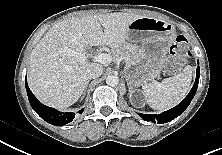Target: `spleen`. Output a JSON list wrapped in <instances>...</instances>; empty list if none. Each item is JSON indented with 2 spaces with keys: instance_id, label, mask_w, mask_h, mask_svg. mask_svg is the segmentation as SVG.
<instances>
[{
  "instance_id": "spleen-1",
  "label": "spleen",
  "mask_w": 222,
  "mask_h": 155,
  "mask_svg": "<svg viewBox=\"0 0 222 155\" xmlns=\"http://www.w3.org/2000/svg\"><path fill=\"white\" fill-rule=\"evenodd\" d=\"M192 80V67L161 82H152L142 86L143 94L149 106L155 110H167L179 104L187 95Z\"/></svg>"
}]
</instances>
